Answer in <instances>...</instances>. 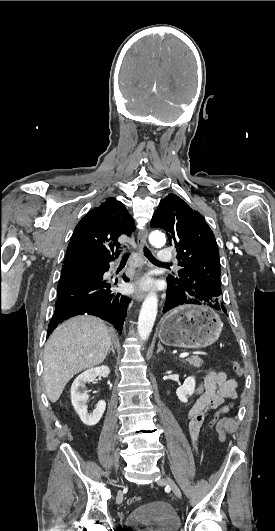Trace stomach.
<instances>
[{
  "mask_svg": "<svg viewBox=\"0 0 275 531\" xmlns=\"http://www.w3.org/2000/svg\"><path fill=\"white\" fill-rule=\"evenodd\" d=\"M223 323L201 301H182L180 307L169 311L159 327V339L168 347L181 349H204L218 341Z\"/></svg>",
  "mask_w": 275,
  "mask_h": 531,
  "instance_id": "1",
  "label": "stomach"
}]
</instances>
